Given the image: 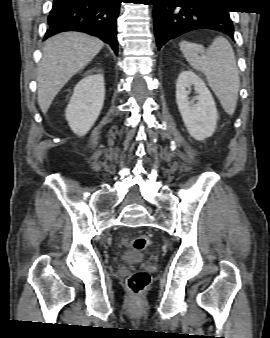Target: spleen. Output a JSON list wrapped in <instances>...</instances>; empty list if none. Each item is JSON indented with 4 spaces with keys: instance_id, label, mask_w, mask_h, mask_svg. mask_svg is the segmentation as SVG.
I'll return each mask as SVG.
<instances>
[{
    "instance_id": "3e777b00",
    "label": "spleen",
    "mask_w": 270,
    "mask_h": 338,
    "mask_svg": "<svg viewBox=\"0 0 270 338\" xmlns=\"http://www.w3.org/2000/svg\"><path fill=\"white\" fill-rule=\"evenodd\" d=\"M180 50L187 62L206 76L224 111L233 115L238 100L240 78L229 41L218 36L207 49L202 45L181 41Z\"/></svg>"
}]
</instances>
